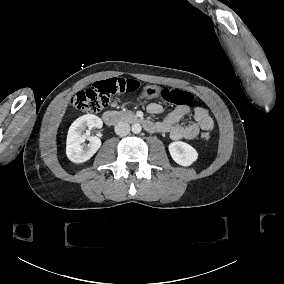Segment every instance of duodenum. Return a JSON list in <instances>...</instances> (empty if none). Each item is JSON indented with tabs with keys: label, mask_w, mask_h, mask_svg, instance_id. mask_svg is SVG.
Wrapping results in <instances>:
<instances>
[{
	"label": "duodenum",
	"mask_w": 284,
	"mask_h": 284,
	"mask_svg": "<svg viewBox=\"0 0 284 284\" xmlns=\"http://www.w3.org/2000/svg\"><path fill=\"white\" fill-rule=\"evenodd\" d=\"M104 123L114 126L121 121H128L132 124H138L143 126L145 129L150 127V122L145 120L143 117L134 116V115H120L114 111H105L101 115Z\"/></svg>",
	"instance_id": "410a0bca"
}]
</instances>
